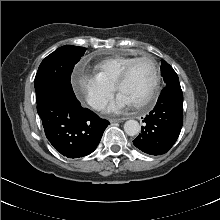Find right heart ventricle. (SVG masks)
Masks as SVG:
<instances>
[{"label":"right heart ventricle","instance_id":"e07e8e85","mask_svg":"<svg viewBox=\"0 0 220 220\" xmlns=\"http://www.w3.org/2000/svg\"><path fill=\"white\" fill-rule=\"evenodd\" d=\"M135 58L134 56L110 57L94 64L93 71L103 81L116 86L125 67Z\"/></svg>","mask_w":220,"mask_h":220}]
</instances>
